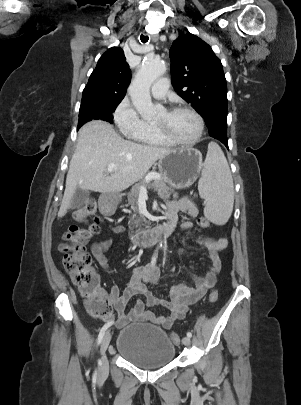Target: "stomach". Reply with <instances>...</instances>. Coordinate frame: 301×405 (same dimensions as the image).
I'll list each match as a JSON object with an SVG mask.
<instances>
[{
    "label": "stomach",
    "mask_w": 301,
    "mask_h": 405,
    "mask_svg": "<svg viewBox=\"0 0 301 405\" xmlns=\"http://www.w3.org/2000/svg\"><path fill=\"white\" fill-rule=\"evenodd\" d=\"M202 166L201 152L192 147L170 150L158 162L159 172L174 189L192 186L198 179Z\"/></svg>",
    "instance_id": "obj_1"
}]
</instances>
